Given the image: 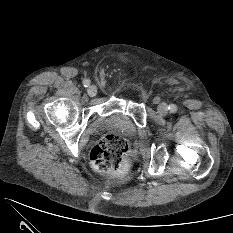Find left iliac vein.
Here are the masks:
<instances>
[{
    "label": "left iliac vein",
    "instance_id": "4c4485c4",
    "mask_svg": "<svg viewBox=\"0 0 233 233\" xmlns=\"http://www.w3.org/2000/svg\"><path fill=\"white\" fill-rule=\"evenodd\" d=\"M157 111L161 116H165L169 111L168 105L166 103H161L158 106Z\"/></svg>",
    "mask_w": 233,
    "mask_h": 233
}]
</instances>
